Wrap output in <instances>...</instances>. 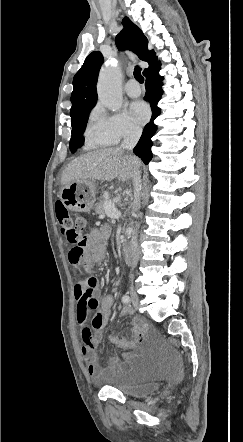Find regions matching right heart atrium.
I'll use <instances>...</instances> for the list:
<instances>
[{
    "label": "right heart atrium",
    "mask_w": 243,
    "mask_h": 442,
    "mask_svg": "<svg viewBox=\"0 0 243 442\" xmlns=\"http://www.w3.org/2000/svg\"><path fill=\"white\" fill-rule=\"evenodd\" d=\"M96 116L100 130L114 143L137 137L140 134V127L125 111L106 112L99 110Z\"/></svg>",
    "instance_id": "obj_1"
}]
</instances>
